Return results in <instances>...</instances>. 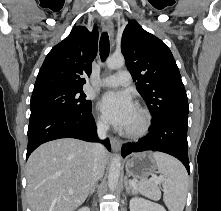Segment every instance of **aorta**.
<instances>
[{"label": "aorta", "mask_w": 221, "mask_h": 211, "mask_svg": "<svg viewBox=\"0 0 221 211\" xmlns=\"http://www.w3.org/2000/svg\"><path fill=\"white\" fill-rule=\"evenodd\" d=\"M108 69L114 70L124 66L125 60L122 56H112L106 61ZM121 170V157L115 155L111 161L109 174H108V186L111 191L115 190L118 184Z\"/></svg>", "instance_id": "aorta-1"}]
</instances>
